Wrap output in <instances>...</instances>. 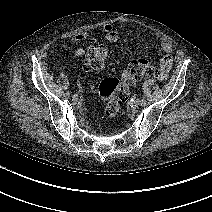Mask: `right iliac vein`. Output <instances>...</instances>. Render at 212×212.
<instances>
[{"mask_svg":"<svg viewBox=\"0 0 212 212\" xmlns=\"http://www.w3.org/2000/svg\"><path fill=\"white\" fill-rule=\"evenodd\" d=\"M72 100H73V101H77V100H78V95H76V94L73 95V96H72Z\"/></svg>","mask_w":212,"mask_h":212,"instance_id":"obj_1","label":"right iliac vein"}]
</instances>
